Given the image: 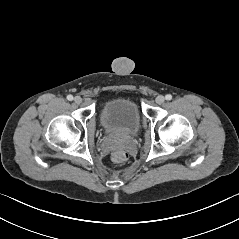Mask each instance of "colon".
<instances>
[{
    "mask_svg": "<svg viewBox=\"0 0 239 239\" xmlns=\"http://www.w3.org/2000/svg\"><path fill=\"white\" fill-rule=\"evenodd\" d=\"M111 158L114 162L123 163L128 159V154L124 149H116L112 152Z\"/></svg>",
    "mask_w": 239,
    "mask_h": 239,
    "instance_id": "obj_1",
    "label": "colon"
}]
</instances>
